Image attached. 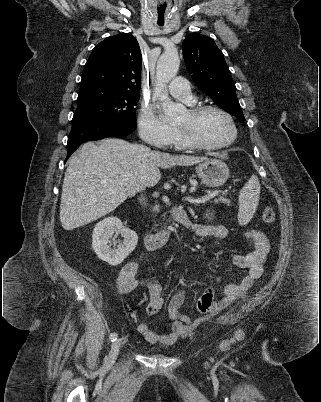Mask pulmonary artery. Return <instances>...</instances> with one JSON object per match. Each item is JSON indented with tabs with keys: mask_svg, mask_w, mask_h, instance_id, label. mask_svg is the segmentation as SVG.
<instances>
[{
	"mask_svg": "<svg viewBox=\"0 0 321 402\" xmlns=\"http://www.w3.org/2000/svg\"><path fill=\"white\" fill-rule=\"evenodd\" d=\"M168 91L172 96L183 100L187 104H192L195 101L189 83L182 77L174 78L168 85Z\"/></svg>",
	"mask_w": 321,
	"mask_h": 402,
	"instance_id": "obj_1",
	"label": "pulmonary artery"
}]
</instances>
